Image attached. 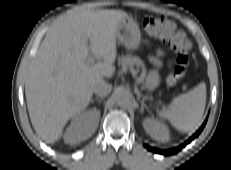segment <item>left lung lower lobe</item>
Returning a JSON list of instances; mask_svg holds the SVG:
<instances>
[{
    "instance_id": "0a47b994",
    "label": "left lung lower lobe",
    "mask_w": 231,
    "mask_h": 170,
    "mask_svg": "<svg viewBox=\"0 0 231 170\" xmlns=\"http://www.w3.org/2000/svg\"><path fill=\"white\" fill-rule=\"evenodd\" d=\"M205 124H206V121L203 123V125L200 127V129L192 137H190L185 143H183L182 145H180V146H178L176 148L169 149V150H159V149H156V148H153V147H149L147 145H145V147L148 150L152 151V152L163 154V155H172V154H175V153L179 152L183 147H185L186 144H188L192 140H194L201 133V131L203 130Z\"/></svg>"
}]
</instances>
